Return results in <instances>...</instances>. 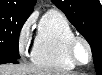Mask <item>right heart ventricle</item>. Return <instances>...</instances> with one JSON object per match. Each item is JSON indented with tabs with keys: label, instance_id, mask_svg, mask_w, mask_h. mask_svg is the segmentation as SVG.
<instances>
[{
	"label": "right heart ventricle",
	"instance_id": "1",
	"mask_svg": "<svg viewBox=\"0 0 102 75\" xmlns=\"http://www.w3.org/2000/svg\"><path fill=\"white\" fill-rule=\"evenodd\" d=\"M76 35L66 15L48 10L41 18L31 50V58L38 64L57 68H72L75 62L68 52V42Z\"/></svg>",
	"mask_w": 102,
	"mask_h": 75
}]
</instances>
